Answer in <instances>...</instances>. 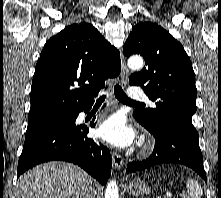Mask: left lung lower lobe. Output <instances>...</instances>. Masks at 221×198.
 I'll return each mask as SVG.
<instances>
[{"label": "left lung lower lobe", "mask_w": 221, "mask_h": 198, "mask_svg": "<svg viewBox=\"0 0 221 198\" xmlns=\"http://www.w3.org/2000/svg\"><path fill=\"white\" fill-rule=\"evenodd\" d=\"M140 124L154 135L156 139L155 147L152 156L148 159L129 163L127 173L145 170L156 164L178 163L192 168L205 181L207 180L199 147L198 133L173 128L155 129L144 125L142 122Z\"/></svg>", "instance_id": "1"}]
</instances>
